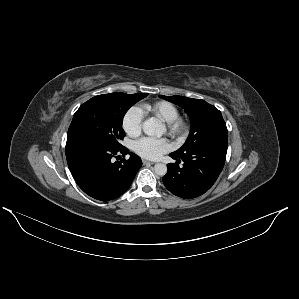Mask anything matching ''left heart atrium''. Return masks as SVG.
Listing matches in <instances>:
<instances>
[{
	"instance_id": "39dd6f15",
	"label": "left heart atrium",
	"mask_w": 299,
	"mask_h": 299,
	"mask_svg": "<svg viewBox=\"0 0 299 299\" xmlns=\"http://www.w3.org/2000/svg\"><path fill=\"white\" fill-rule=\"evenodd\" d=\"M169 149L170 144L164 138L143 137L134 143L135 152L148 159H157Z\"/></svg>"
}]
</instances>
